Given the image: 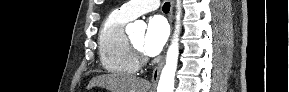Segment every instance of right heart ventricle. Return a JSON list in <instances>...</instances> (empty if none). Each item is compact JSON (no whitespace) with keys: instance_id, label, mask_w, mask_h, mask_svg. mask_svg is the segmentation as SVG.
I'll list each match as a JSON object with an SVG mask.
<instances>
[{"instance_id":"obj_1","label":"right heart ventricle","mask_w":289,"mask_h":92,"mask_svg":"<svg viewBox=\"0 0 289 92\" xmlns=\"http://www.w3.org/2000/svg\"><path fill=\"white\" fill-rule=\"evenodd\" d=\"M130 18L119 10L111 12L103 21L98 48L103 68L114 74H134L139 64L134 58L125 33V25Z\"/></svg>"}]
</instances>
